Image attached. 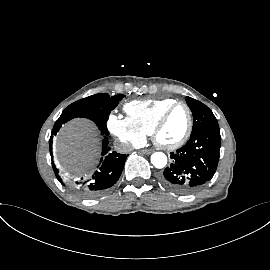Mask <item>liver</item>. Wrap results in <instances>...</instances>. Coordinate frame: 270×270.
<instances>
[{"label":"liver","mask_w":270,"mask_h":270,"mask_svg":"<svg viewBox=\"0 0 270 270\" xmlns=\"http://www.w3.org/2000/svg\"><path fill=\"white\" fill-rule=\"evenodd\" d=\"M99 137L95 125L86 119H74L62 127L55 138L58 163L74 171L90 167L99 151Z\"/></svg>","instance_id":"obj_1"}]
</instances>
